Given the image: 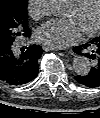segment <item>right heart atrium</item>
Returning a JSON list of instances; mask_svg holds the SVG:
<instances>
[{
	"mask_svg": "<svg viewBox=\"0 0 100 118\" xmlns=\"http://www.w3.org/2000/svg\"><path fill=\"white\" fill-rule=\"evenodd\" d=\"M48 0H28V11L32 18L39 20L47 15Z\"/></svg>",
	"mask_w": 100,
	"mask_h": 118,
	"instance_id": "obj_1",
	"label": "right heart atrium"
}]
</instances>
